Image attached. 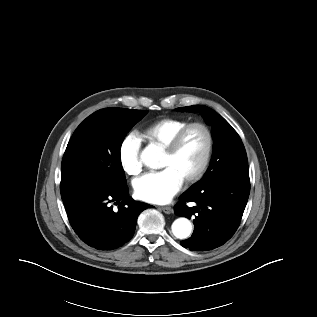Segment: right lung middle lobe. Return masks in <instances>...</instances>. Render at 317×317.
Returning <instances> with one entry per match:
<instances>
[{"mask_svg": "<svg viewBox=\"0 0 317 317\" xmlns=\"http://www.w3.org/2000/svg\"><path fill=\"white\" fill-rule=\"evenodd\" d=\"M148 111L105 108L87 117L72 135L61 165L63 201L99 182L126 183L120 149L126 134Z\"/></svg>", "mask_w": 317, "mask_h": 317, "instance_id": "obj_1", "label": "right lung middle lobe"}]
</instances>
